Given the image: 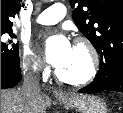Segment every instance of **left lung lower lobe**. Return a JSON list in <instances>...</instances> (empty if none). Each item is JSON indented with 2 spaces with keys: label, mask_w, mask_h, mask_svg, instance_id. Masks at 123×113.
<instances>
[{
  "label": "left lung lower lobe",
  "mask_w": 123,
  "mask_h": 113,
  "mask_svg": "<svg viewBox=\"0 0 123 113\" xmlns=\"http://www.w3.org/2000/svg\"><path fill=\"white\" fill-rule=\"evenodd\" d=\"M105 90L123 92V64H118L116 66L114 75L108 80H104L97 73L94 80L88 86L80 89L78 92L97 93Z\"/></svg>",
  "instance_id": "obj_1"
}]
</instances>
